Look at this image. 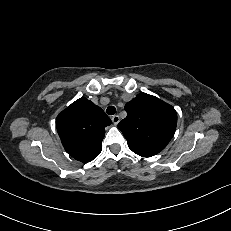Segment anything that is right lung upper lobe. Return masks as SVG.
Returning a JSON list of instances; mask_svg holds the SVG:
<instances>
[{"mask_svg": "<svg viewBox=\"0 0 231 231\" xmlns=\"http://www.w3.org/2000/svg\"><path fill=\"white\" fill-rule=\"evenodd\" d=\"M110 124L104 111L86 98L76 100L56 118V128L65 150L83 163L100 154L105 127Z\"/></svg>", "mask_w": 231, "mask_h": 231, "instance_id": "obj_1", "label": "right lung upper lobe"}]
</instances>
